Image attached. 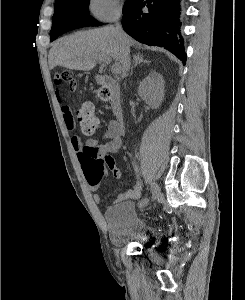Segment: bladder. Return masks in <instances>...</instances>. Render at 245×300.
<instances>
[{"label": "bladder", "instance_id": "obj_1", "mask_svg": "<svg viewBox=\"0 0 245 300\" xmlns=\"http://www.w3.org/2000/svg\"><path fill=\"white\" fill-rule=\"evenodd\" d=\"M104 219L110 241L117 246L145 242L157 233L154 224L139 214L130 200L110 205L104 213Z\"/></svg>", "mask_w": 245, "mask_h": 300}]
</instances>
